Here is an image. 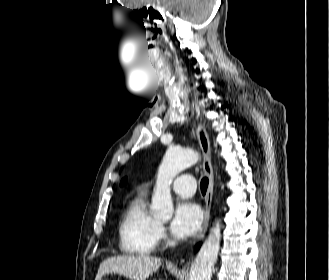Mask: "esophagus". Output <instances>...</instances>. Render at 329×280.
Masks as SVG:
<instances>
[{"mask_svg": "<svg viewBox=\"0 0 329 280\" xmlns=\"http://www.w3.org/2000/svg\"><path fill=\"white\" fill-rule=\"evenodd\" d=\"M196 131H197L198 141H199V144H200L203 156H204L203 169L209 180L207 193H206V197H205L204 220H203L202 226L199 230V233L197 235V241H200L203 239V237L205 236L206 231L208 229V223H209V218H210V209H211L212 196H213L214 176H213V168H212V163H211L210 141H209L207 131L201 124L197 125Z\"/></svg>", "mask_w": 329, "mask_h": 280, "instance_id": "1", "label": "esophagus"}]
</instances>
